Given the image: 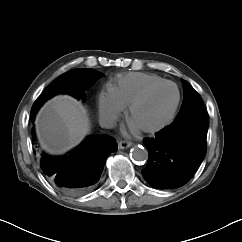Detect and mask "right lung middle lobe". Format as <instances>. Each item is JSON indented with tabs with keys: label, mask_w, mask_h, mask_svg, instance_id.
<instances>
[{
	"label": "right lung middle lobe",
	"mask_w": 242,
	"mask_h": 242,
	"mask_svg": "<svg viewBox=\"0 0 242 242\" xmlns=\"http://www.w3.org/2000/svg\"><path fill=\"white\" fill-rule=\"evenodd\" d=\"M102 76L103 74L88 68L73 69L60 75L48 87H46L45 92L37 98L32 107L31 113L35 114L45 101L59 93H67L77 99H84V90L90 87Z\"/></svg>",
	"instance_id": "right-lung-middle-lobe-1"
}]
</instances>
